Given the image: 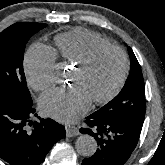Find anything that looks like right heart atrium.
Here are the masks:
<instances>
[{
	"label": "right heart atrium",
	"mask_w": 165,
	"mask_h": 165,
	"mask_svg": "<svg viewBox=\"0 0 165 165\" xmlns=\"http://www.w3.org/2000/svg\"><path fill=\"white\" fill-rule=\"evenodd\" d=\"M54 50L46 45L33 44L26 53L24 67L28 84L37 91L44 90L55 82Z\"/></svg>",
	"instance_id": "d8ad5b80"
}]
</instances>
